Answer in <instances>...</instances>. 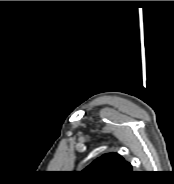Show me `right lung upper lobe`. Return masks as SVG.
<instances>
[{
	"label": "right lung upper lobe",
	"mask_w": 174,
	"mask_h": 184,
	"mask_svg": "<svg viewBox=\"0 0 174 184\" xmlns=\"http://www.w3.org/2000/svg\"><path fill=\"white\" fill-rule=\"evenodd\" d=\"M83 171L97 178L115 179L131 173L132 167L120 155L109 153L93 161Z\"/></svg>",
	"instance_id": "cb5924a9"
}]
</instances>
